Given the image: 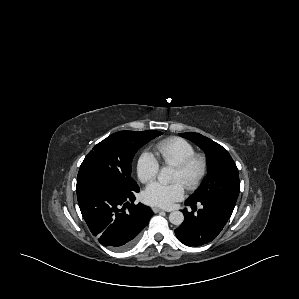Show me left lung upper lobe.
<instances>
[{
  "mask_svg": "<svg viewBox=\"0 0 299 299\" xmlns=\"http://www.w3.org/2000/svg\"><path fill=\"white\" fill-rule=\"evenodd\" d=\"M201 147L207 156L208 174L201 187L188 199L194 203L217 201L234 209L240 181L238 168L228 151L211 139L194 132L180 133Z\"/></svg>",
  "mask_w": 299,
  "mask_h": 299,
  "instance_id": "5c2ea615",
  "label": "left lung upper lobe"
}]
</instances>
